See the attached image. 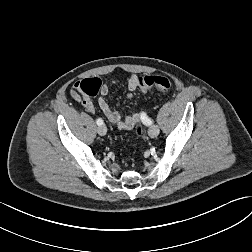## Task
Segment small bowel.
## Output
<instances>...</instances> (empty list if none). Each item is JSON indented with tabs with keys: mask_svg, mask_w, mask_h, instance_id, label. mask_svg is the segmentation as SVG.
Wrapping results in <instances>:
<instances>
[{
	"mask_svg": "<svg viewBox=\"0 0 252 252\" xmlns=\"http://www.w3.org/2000/svg\"><path fill=\"white\" fill-rule=\"evenodd\" d=\"M138 77L136 75H131L127 78V84L129 88L128 98L132 99L134 97V93L138 87L137 83ZM115 84V81H111L103 84L101 88V95L98 99V105L105 115L107 121L114 126L116 129L120 131H130L132 130L136 124L140 122V111L131 110L130 113L122 118L121 115L111 108L109 101L107 100V95L109 93L110 85ZM71 97L81 103L84 109L87 112H94L95 107L92 101L81 91L80 89V81H77L72 89L70 90Z\"/></svg>",
	"mask_w": 252,
	"mask_h": 252,
	"instance_id": "1",
	"label": "small bowel"
}]
</instances>
